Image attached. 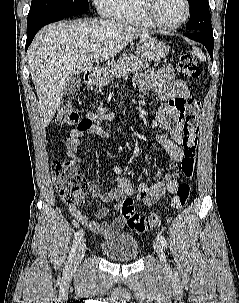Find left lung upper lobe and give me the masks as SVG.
Instances as JSON below:
<instances>
[{
	"mask_svg": "<svg viewBox=\"0 0 239 303\" xmlns=\"http://www.w3.org/2000/svg\"><path fill=\"white\" fill-rule=\"evenodd\" d=\"M190 5V19L187 29L191 32L212 31L211 17L207 0H188Z\"/></svg>",
	"mask_w": 239,
	"mask_h": 303,
	"instance_id": "5c2ea615",
	"label": "left lung upper lobe"
}]
</instances>
